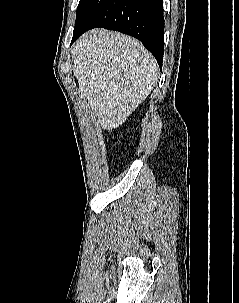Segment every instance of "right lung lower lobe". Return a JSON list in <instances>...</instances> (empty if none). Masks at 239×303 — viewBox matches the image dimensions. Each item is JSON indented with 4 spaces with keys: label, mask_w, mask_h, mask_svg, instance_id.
<instances>
[{
    "label": "right lung lower lobe",
    "mask_w": 239,
    "mask_h": 303,
    "mask_svg": "<svg viewBox=\"0 0 239 303\" xmlns=\"http://www.w3.org/2000/svg\"><path fill=\"white\" fill-rule=\"evenodd\" d=\"M95 27L116 30L139 39L162 67L163 0H106L84 28L73 34L71 44Z\"/></svg>",
    "instance_id": "98d812e1"
}]
</instances>
